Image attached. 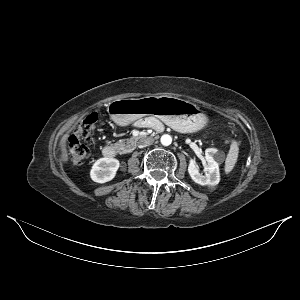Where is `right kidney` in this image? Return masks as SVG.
<instances>
[{"label":"right kidney","mask_w":300,"mask_h":300,"mask_svg":"<svg viewBox=\"0 0 300 300\" xmlns=\"http://www.w3.org/2000/svg\"><path fill=\"white\" fill-rule=\"evenodd\" d=\"M119 166L120 163L115 158H100L93 164L90 177L97 183L108 182L115 177Z\"/></svg>","instance_id":"right-kidney-1"}]
</instances>
